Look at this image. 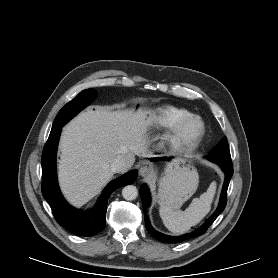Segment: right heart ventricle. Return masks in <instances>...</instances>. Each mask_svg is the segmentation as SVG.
I'll use <instances>...</instances> for the list:
<instances>
[{"mask_svg":"<svg viewBox=\"0 0 278 278\" xmlns=\"http://www.w3.org/2000/svg\"><path fill=\"white\" fill-rule=\"evenodd\" d=\"M192 114L189 110L172 105H164L153 110L155 122L163 128L172 129L181 119Z\"/></svg>","mask_w":278,"mask_h":278,"instance_id":"right-heart-ventricle-1","label":"right heart ventricle"}]
</instances>
